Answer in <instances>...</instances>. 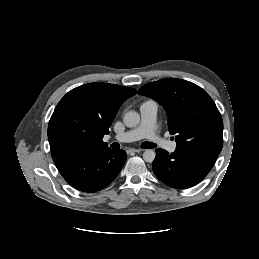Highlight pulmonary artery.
Returning a JSON list of instances; mask_svg holds the SVG:
<instances>
[{
	"instance_id": "obj_1",
	"label": "pulmonary artery",
	"mask_w": 259,
	"mask_h": 259,
	"mask_svg": "<svg viewBox=\"0 0 259 259\" xmlns=\"http://www.w3.org/2000/svg\"><path fill=\"white\" fill-rule=\"evenodd\" d=\"M158 105L155 101L148 100L140 105V124L124 133L115 136L117 142H132L142 138H146L153 143L161 146L169 152L176 150L175 142L167 141L160 137L156 131V117Z\"/></svg>"
}]
</instances>
